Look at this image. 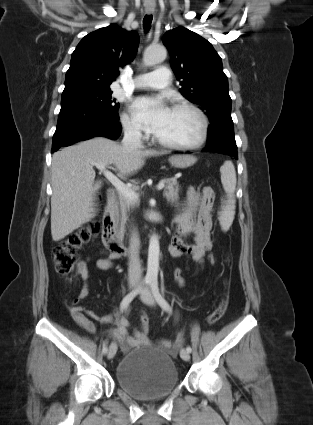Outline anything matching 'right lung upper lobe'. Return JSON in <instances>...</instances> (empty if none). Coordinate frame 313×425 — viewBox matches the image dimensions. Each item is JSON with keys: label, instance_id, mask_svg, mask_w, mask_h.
Returning a JSON list of instances; mask_svg holds the SVG:
<instances>
[{"label": "right lung upper lobe", "instance_id": "cb5924a9", "mask_svg": "<svg viewBox=\"0 0 313 425\" xmlns=\"http://www.w3.org/2000/svg\"><path fill=\"white\" fill-rule=\"evenodd\" d=\"M138 46L137 32L117 24L89 33L72 53L63 93L109 88L119 75L118 68L133 61Z\"/></svg>", "mask_w": 313, "mask_h": 425}]
</instances>
